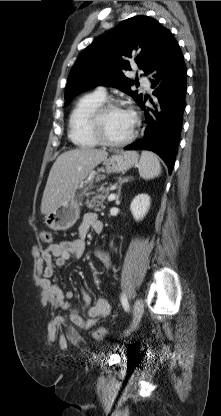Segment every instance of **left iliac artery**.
I'll use <instances>...</instances> for the list:
<instances>
[{
	"mask_svg": "<svg viewBox=\"0 0 221 416\" xmlns=\"http://www.w3.org/2000/svg\"><path fill=\"white\" fill-rule=\"evenodd\" d=\"M121 303H122L123 308L126 311H128L129 310V303H128V300H127V297H126L125 294H122L121 295Z\"/></svg>",
	"mask_w": 221,
	"mask_h": 416,
	"instance_id": "obj_1",
	"label": "left iliac artery"
}]
</instances>
